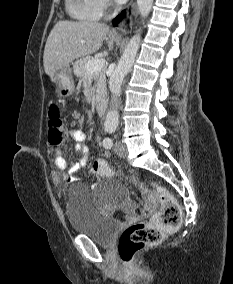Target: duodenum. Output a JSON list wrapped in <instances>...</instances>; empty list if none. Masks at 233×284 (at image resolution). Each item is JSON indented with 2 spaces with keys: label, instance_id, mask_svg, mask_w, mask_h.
<instances>
[{
  "label": "duodenum",
  "instance_id": "410a0bca",
  "mask_svg": "<svg viewBox=\"0 0 233 284\" xmlns=\"http://www.w3.org/2000/svg\"><path fill=\"white\" fill-rule=\"evenodd\" d=\"M106 107H107V104H106L105 100L99 101L96 105V110H97L98 114H100V115L104 114Z\"/></svg>",
  "mask_w": 233,
  "mask_h": 284
}]
</instances>
